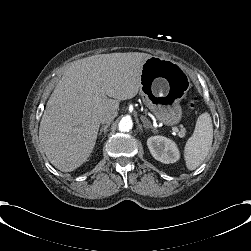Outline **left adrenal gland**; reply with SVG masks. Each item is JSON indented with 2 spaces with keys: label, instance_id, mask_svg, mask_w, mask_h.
I'll use <instances>...</instances> for the list:
<instances>
[{
  "label": "left adrenal gland",
  "instance_id": "obj_1",
  "mask_svg": "<svg viewBox=\"0 0 251 251\" xmlns=\"http://www.w3.org/2000/svg\"><path fill=\"white\" fill-rule=\"evenodd\" d=\"M141 119L145 128H152L154 131H157V128L152 126L149 119L145 118L144 116H141Z\"/></svg>",
  "mask_w": 251,
  "mask_h": 251
}]
</instances>
